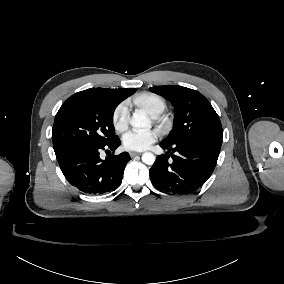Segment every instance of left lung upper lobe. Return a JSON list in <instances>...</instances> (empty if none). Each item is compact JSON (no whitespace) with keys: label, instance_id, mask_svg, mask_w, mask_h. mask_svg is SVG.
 <instances>
[{"label":"left lung upper lobe","instance_id":"left-lung-upper-lobe-1","mask_svg":"<svg viewBox=\"0 0 284 284\" xmlns=\"http://www.w3.org/2000/svg\"><path fill=\"white\" fill-rule=\"evenodd\" d=\"M150 91L169 100L175 109L174 128L165 142L172 145L201 141L221 147L223 132L220 119L201 93L175 85L150 87Z\"/></svg>","mask_w":284,"mask_h":284}]
</instances>
